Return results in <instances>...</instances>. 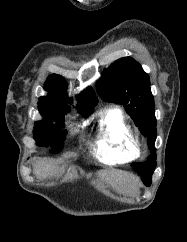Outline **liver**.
Here are the masks:
<instances>
[{
    "instance_id": "obj_1",
    "label": "liver",
    "mask_w": 187,
    "mask_h": 242,
    "mask_svg": "<svg viewBox=\"0 0 187 242\" xmlns=\"http://www.w3.org/2000/svg\"><path fill=\"white\" fill-rule=\"evenodd\" d=\"M33 173L39 179L55 175L56 169L52 161L41 159L34 164ZM99 176L109 183L115 190L129 193L137 183V178L123 171H101Z\"/></svg>"
}]
</instances>
